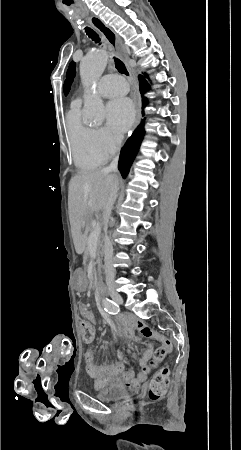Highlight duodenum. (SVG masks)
Masks as SVG:
<instances>
[{
  "label": "duodenum",
  "instance_id": "1",
  "mask_svg": "<svg viewBox=\"0 0 241 450\" xmlns=\"http://www.w3.org/2000/svg\"><path fill=\"white\" fill-rule=\"evenodd\" d=\"M94 290L99 294H103L105 290L104 284L101 281L96 280L94 282Z\"/></svg>",
  "mask_w": 241,
  "mask_h": 450
}]
</instances>
